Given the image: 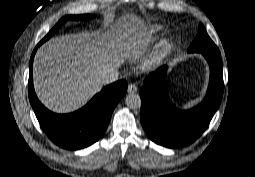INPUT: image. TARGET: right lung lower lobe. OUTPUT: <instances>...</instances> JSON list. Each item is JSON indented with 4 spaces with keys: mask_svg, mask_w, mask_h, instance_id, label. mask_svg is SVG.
<instances>
[{
    "mask_svg": "<svg viewBox=\"0 0 255 177\" xmlns=\"http://www.w3.org/2000/svg\"><path fill=\"white\" fill-rule=\"evenodd\" d=\"M37 47L30 59L28 92L43 131L55 144L66 149L90 146L106 130L115 106L127 91L126 81L120 80L106 86L86 106L74 113L55 114L40 103L34 91L32 63Z\"/></svg>",
    "mask_w": 255,
    "mask_h": 177,
    "instance_id": "obj_1",
    "label": "right lung lower lobe"
}]
</instances>
